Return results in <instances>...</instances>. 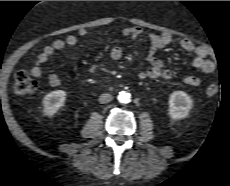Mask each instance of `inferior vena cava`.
Wrapping results in <instances>:
<instances>
[{
	"instance_id": "inferior-vena-cava-1",
	"label": "inferior vena cava",
	"mask_w": 230,
	"mask_h": 186,
	"mask_svg": "<svg viewBox=\"0 0 230 186\" xmlns=\"http://www.w3.org/2000/svg\"><path fill=\"white\" fill-rule=\"evenodd\" d=\"M112 99H113V97H112L111 94H109V93H104V94L100 95V97H99V102H100L101 104H104V103L110 102Z\"/></svg>"
}]
</instances>
